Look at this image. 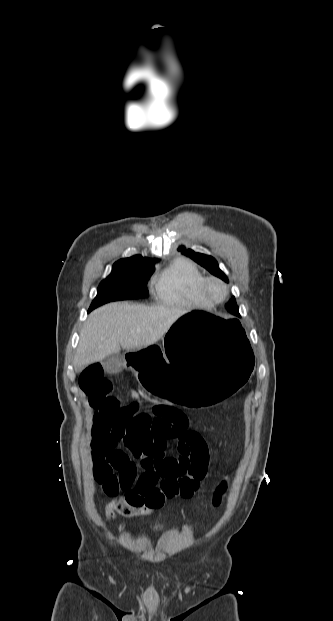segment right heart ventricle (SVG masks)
<instances>
[{"mask_svg": "<svg viewBox=\"0 0 333 621\" xmlns=\"http://www.w3.org/2000/svg\"><path fill=\"white\" fill-rule=\"evenodd\" d=\"M204 278L194 263L178 258L157 275L154 295L161 303L168 305L211 308L213 305L201 290Z\"/></svg>", "mask_w": 333, "mask_h": 621, "instance_id": "e07e8e85", "label": "right heart ventricle"}]
</instances>
